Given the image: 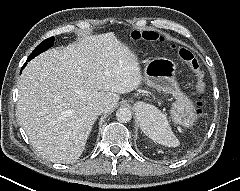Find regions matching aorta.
I'll return each mask as SVG.
<instances>
[{
    "label": "aorta",
    "mask_w": 240,
    "mask_h": 191,
    "mask_svg": "<svg viewBox=\"0 0 240 191\" xmlns=\"http://www.w3.org/2000/svg\"><path fill=\"white\" fill-rule=\"evenodd\" d=\"M139 109H142V107H139ZM116 118L119 122L127 123L132 119V112L127 107H121L116 111Z\"/></svg>",
    "instance_id": "obj_1"
}]
</instances>
